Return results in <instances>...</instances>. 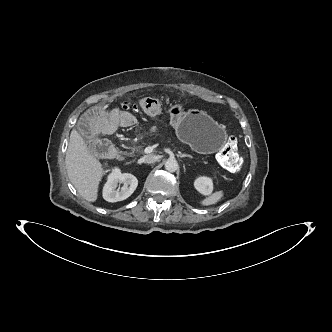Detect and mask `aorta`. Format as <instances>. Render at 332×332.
I'll return each mask as SVG.
<instances>
[{
    "label": "aorta",
    "instance_id": "aorta-1",
    "mask_svg": "<svg viewBox=\"0 0 332 332\" xmlns=\"http://www.w3.org/2000/svg\"><path fill=\"white\" fill-rule=\"evenodd\" d=\"M165 169L168 172H175L178 169V163L177 160L175 158H169L167 159V161L165 162Z\"/></svg>",
    "mask_w": 332,
    "mask_h": 332
}]
</instances>
